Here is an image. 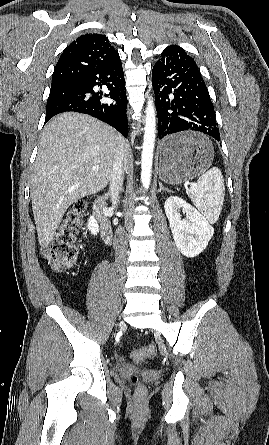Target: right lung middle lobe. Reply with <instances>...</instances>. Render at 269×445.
<instances>
[{
  "label": "right lung middle lobe",
  "mask_w": 269,
  "mask_h": 445,
  "mask_svg": "<svg viewBox=\"0 0 269 445\" xmlns=\"http://www.w3.org/2000/svg\"><path fill=\"white\" fill-rule=\"evenodd\" d=\"M72 90H73L72 85L51 88L50 94H49V97L47 100V108H49L54 103H56L62 99L68 98L71 95Z\"/></svg>",
  "instance_id": "obj_1"
}]
</instances>
